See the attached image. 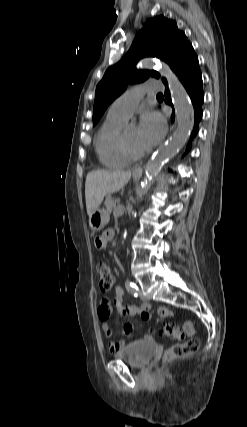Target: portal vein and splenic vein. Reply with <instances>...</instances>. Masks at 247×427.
I'll return each instance as SVG.
<instances>
[{
    "mask_svg": "<svg viewBox=\"0 0 247 427\" xmlns=\"http://www.w3.org/2000/svg\"><path fill=\"white\" fill-rule=\"evenodd\" d=\"M115 202H117V203L120 202V199L119 198L115 199Z\"/></svg>",
    "mask_w": 247,
    "mask_h": 427,
    "instance_id": "1",
    "label": "portal vein and splenic vein"
}]
</instances>
